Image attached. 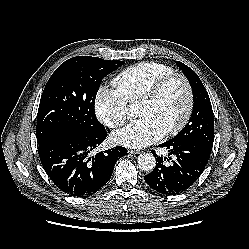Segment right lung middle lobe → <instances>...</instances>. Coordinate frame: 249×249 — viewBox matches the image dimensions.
I'll use <instances>...</instances> for the list:
<instances>
[{"mask_svg":"<svg viewBox=\"0 0 249 249\" xmlns=\"http://www.w3.org/2000/svg\"><path fill=\"white\" fill-rule=\"evenodd\" d=\"M124 63L78 56L59 66L41 96L36 126L38 144L66 131H104L94 111L96 94L102 79Z\"/></svg>","mask_w":249,"mask_h":249,"instance_id":"obj_1","label":"right lung middle lobe"}]
</instances>
